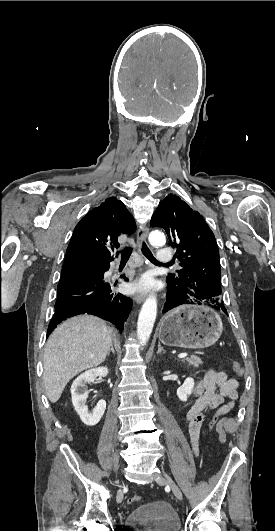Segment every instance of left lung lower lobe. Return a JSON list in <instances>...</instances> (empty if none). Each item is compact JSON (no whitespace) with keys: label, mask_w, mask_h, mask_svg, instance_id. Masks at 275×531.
<instances>
[{"label":"left lung lower lobe","mask_w":275,"mask_h":531,"mask_svg":"<svg viewBox=\"0 0 275 531\" xmlns=\"http://www.w3.org/2000/svg\"><path fill=\"white\" fill-rule=\"evenodd\" d=\"M178 305H182V304H175V303H173V302L171 301V299H170L169 294L167 293V301H166V303H165V305H164L163 312H167V311H169L170 309H172V308H174V307H176V306H178ZM224 312L227 313L226 309L224 310Z\"/></svg>","instance_id":"1"}]
</instances>
